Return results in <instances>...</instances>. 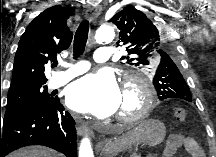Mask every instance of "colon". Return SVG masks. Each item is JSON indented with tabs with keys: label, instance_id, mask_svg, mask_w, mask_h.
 I'll return each mask as SVG.
<instances>
[{
	"label": "colon",
	"instance_id": "1",
	"mask_svg": "<svg viewBox=\"0 0 216 157\" xmlns=\"http://www.w3.org/2000/svg\"><path fill=\"white\" fill-rule=\"evenodd\" d=\"M174 117L177 121H185L186 120V117H187V112L184 108H176L175 111H174Z\"/></svg>",
	"mask_w": 216,
	"mask_h": 157
}]
</instances>
